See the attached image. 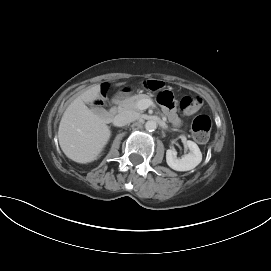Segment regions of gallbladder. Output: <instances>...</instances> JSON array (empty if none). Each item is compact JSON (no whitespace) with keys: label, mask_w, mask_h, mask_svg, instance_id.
Instances as JSON below:
<instances>
[{"label":"gallbladder","mask_w":271,"mask_h":271,"mask_svg":"<svg viewBox=\"0 0 271 271\" xmlns=\"http://www.w3.org/2000/svg\"><path fill=\"white\" fill-rule=\"evenodd\" d=\"M92 111L100 117H103L106 114L105 110L100 107H92Z\"/></svg>","instance_id":"gallbladder-1"}]
</instances>
